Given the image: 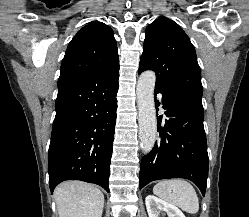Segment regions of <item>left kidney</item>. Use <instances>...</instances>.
Instances as JSON below:
<instances>
[{"label": "left kidney", "mask_w": 249, "mask_h": 217, "mask_svg": "<svg viewBox=\"0 0 249 217\" xmlns=\"http://www.w3.org/2000/svg\"><path fill=\"white\" fill-rule=\"evenodd\" d=\"M145 203L149 217H159L160 211L166 212L168 217H185L178 207L154 195H148Z\"/></svg>", "instance_id": "left-kidney-1"}]
</instances>
